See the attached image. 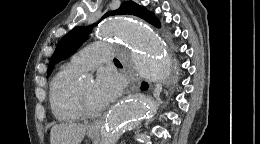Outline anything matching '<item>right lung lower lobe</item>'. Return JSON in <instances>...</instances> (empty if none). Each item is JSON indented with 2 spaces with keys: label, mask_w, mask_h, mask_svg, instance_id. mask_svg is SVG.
I'll return each mask as SVG.
<instances>
[{
  "label": "right lung lower lobe",
  "mask_w": 260,
  "mask_h": 144,
  "mask_svg": "<svg viewBox=\"0 0 260 144\" xmlns=\"http://www.w3.org/2000/svg\"><path fill=\"white\" fill-rule=\"evenodd\" d=\"M147 87H148V84L145 83V82H143V83H142V89H147Z\"/></svg>",
  "instance_id": "1"
}]
</instances>
